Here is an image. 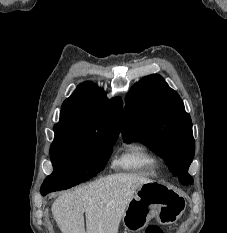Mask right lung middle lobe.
<instances>
[{
    "label": "right lung middle lobe",
    "mask_w": 227,
    "mask_h": 233,
    "mask_svg": "<svg viewBox=\"0 0 227 233\" xmlns=\"http://www.w3.org/2000/svg\"><path fill=\"white\" fill-rule=\"evenodd\" d=\"M118 134L101 138L55 135L50 147L53 173L41 186V192L71 188L89 180L104 169Z\"/></svg>",
    "instance_id": "right-lung-middle-lobe-1"
}]
</instances>
